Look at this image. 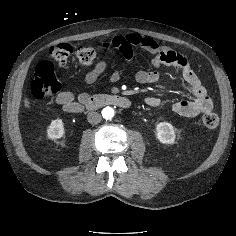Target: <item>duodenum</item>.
Listing matches in <instances>:
<instances>
[{
	"instance_id": "obj_1",
	"label": "duodenum",
	"mask_w": 236,
	"mask_h": 236,
	"mask_svg": "<svg viewBox=\"0 0 236 236\" xmlns=\"http://www.w3.org/2000/svg\"><path fill=\"white\" fill-rule=\"evenodd\" d=\"M107 105H115L120 108H129L131 106V102L128 98L119 94H97L88 96L80 105V110H95Z\"/></svg>"
}]
</instances>
